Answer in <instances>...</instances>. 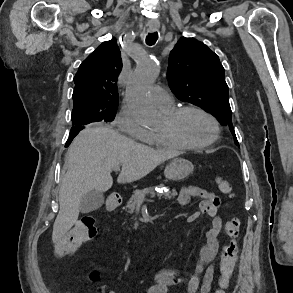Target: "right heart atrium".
<instances>
[{
	"mask_svg": "<svg viewBox=\"0 0 293 293\" xmlns=\"http://www.w3.org/2000/svg\"><path fill=\"white\" fill-rule=\"evenodd\" d=\"M114 124L117 129L140 141H149L152 132L140 124L133 114L122 108L117 114Z\"/></svg>",
	"mask_w": 293,
	"mask_h": 293,
	"instance_id": "d8ad5b80",
	"label": "right heart atrium"
}]
</instances>
